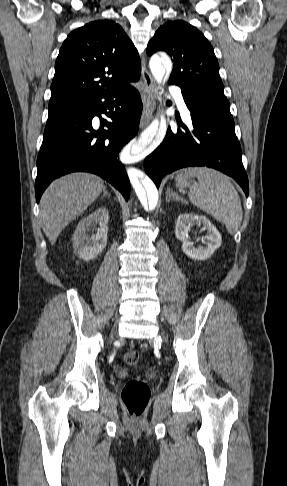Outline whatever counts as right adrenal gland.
Returning a JSON list of instances; mask_svg holds the SVG:
<instances>
[{
  "instance_id": "obj_1",
  "label": "right adrenal gland",
  "mask_w": 287,
  "mask_h": 486,
  "mask_svg": "<svg viewBox=\"0 0 287 486\" xmlns=\"http://www.w3.org/2000/svg\"><path fill=\"white\" fill-rule=\"evenodd\" d=\"M103 192H104V194H103L102 198H104L105 196H109V197L111 196V194L108 193L106 187H103Z\"/></svg>"
}]
</instances>
